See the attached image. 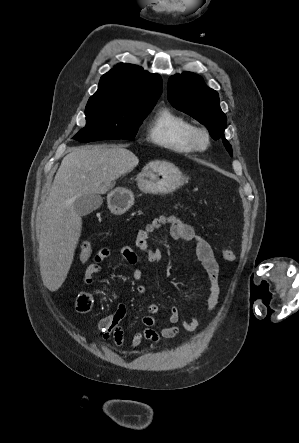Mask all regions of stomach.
<instances>
[{"label":"stomach","instance_id":"0dacf381","mask_svg":"<svg viewBox=\"0 0 299 443\" xmlns=\"http://www.w3.org/2000/svg\"><path fill=\"white\" fill-rule=\"evenodd\" d=\"M138 188L145 193L167 194L184 184V177L173 164L153 162L137 175ZM134 203V195L125 188H115L107 195V204L114 214L126 212Z\"/></svg>","mask_w":299,"mask_h":443}]
</instances>
